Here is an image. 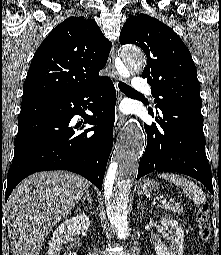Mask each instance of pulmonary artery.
Listing matches in <instances>:
<instances>
[{"label":"pulmonary artery","mask_w":221,"mask_h":255,"mask_svg":"<svg viewBox=\"0 0 221 255\" xmlns=\"http://www.w3.org/2000/svg\"><path fill=\"white\" fill-rule=\"evenodd\" d=\"M133 89L141 95L151 94V86L150 84L139 77H136L133 81Z\"/></svg>","instance_id":"obj_1"}]
</instances>
